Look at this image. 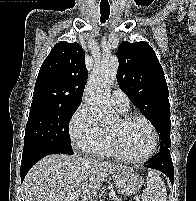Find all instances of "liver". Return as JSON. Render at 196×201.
I'll use <instances>...</instances> for the list:
<instances>
[{
    "label": "liver",
    "mask_w": 196,
    "mask_h": 201,
    "mask_svg": "<svg viewBox=\"0 0 196 201\" xmlns=\"http://www.w3.org/2000/svg\"><path fill=\"white\" fill-rule=\"evenodd\" d=\"M120 170L127 167L77 155L52 154L27 173L22 197L24 201H92L105 179ZM75 193L79 196L72 198Z\"/></svg>",
    "instance_id": "obj_1"
}]
</instances>
